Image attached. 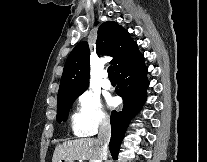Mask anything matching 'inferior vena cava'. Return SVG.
Listing matches in <instances>:
<instances>
[{
  "label": "inferior vena cava",
  "instance_id": "602c4592",
  "mask_svg": "<svg viewBox=\"0 0 207 162\" xmlns=\"http://www.w3.org/2000/svg\"><path fill=\"white\" fill-rule=\"evenodd\" d=\"M110 138H111L110 121L107 118H103L100 121L99 134H98L100 149H99V160H96L97 162H102V160L107 159L108 144Z\"/></svg>",
  "mask_w": 207,
  "mask_h": 162
}]
</instances>
